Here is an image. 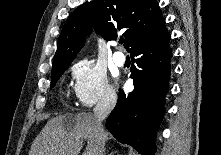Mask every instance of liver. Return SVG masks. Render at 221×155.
I'll list each match as a JSON object with an SVG mask.
<instances>
[{
    "label": "liver",
    "instance_id": "1",
    "mask_svg": "<svg viewBox=\"0 0 221 155\" xmlns=\"http://www.w3.org/2000/svg\"><path fill=\"white\" fill-rule=\"evenodd\" d=\"M109 133L103 129L104 142ZM99 155L100 134L95 117L88 113L65 114L51 118L33 141L29 155Z\"/></svg>",
    "mask_w": 221,
    "mask_h": 155
}]
</instances>
